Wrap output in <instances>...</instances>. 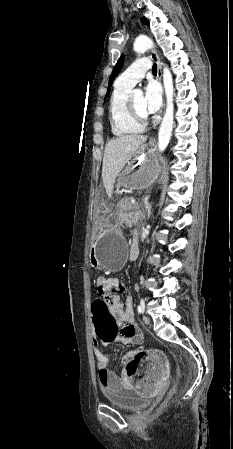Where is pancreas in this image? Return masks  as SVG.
<instances>
[{
	"mask_svg": "<svg viewBox=\"0 0 233 449\" xmlns=\"http://www.w3.org/2000/svg\"><path fill=\"white\" fill-rule=\"evenodd\" d=\"M127 207H128V213H125L124 216L129 219L130 223H136L137 221H140L144 217V213L142 210H140L137 206L133 205L131 203V199H127Z\"/></svg>",
	"mask_w": 233,
	"mask_h": 449,
	"instance_id": "pancreas-1",
	"label": "pancreas"
}]
</instances>
